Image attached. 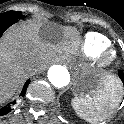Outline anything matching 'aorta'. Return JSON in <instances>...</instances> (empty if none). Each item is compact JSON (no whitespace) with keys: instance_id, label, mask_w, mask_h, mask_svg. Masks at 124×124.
Here are the masks:
<instances>
[{"instance_id":"obj_1","label":"aorta","mask_w":124,"mask_h":124,"mask_svg":"<svg viewBox=\"0 0 124 124\" xmlns=\"http://www.w3.org/2000/svg\"><path fill=\"white\" fill-rule=\"evenodd\" d=\"M48 79L53 86L62 88L69 84L70 74L65 67L53 65L48 70Z\"/></svg>"}]
</instances>
